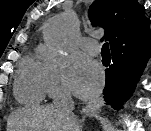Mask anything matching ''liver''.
Instances as JSON below:
<instances>
[{"label": "liver", "instance_id": "1", "mask_svg": "<svg viewBox=\"0 0 151 131\" xmlns=\"http://www.w3.org/2000/svg\"><path fill=\"white\" fill-rule=\"evenodd\" d=\"M7 131H80V128L73 114L54 105H45L14 112L9 118Z\"/></svg>", "mask_w": 151, "mask_h": 131}]
</instances>
